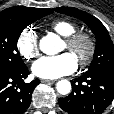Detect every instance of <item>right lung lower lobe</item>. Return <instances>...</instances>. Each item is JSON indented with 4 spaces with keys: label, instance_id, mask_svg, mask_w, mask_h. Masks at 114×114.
Instances as JSON below:
<instances>
[{
    "label": "right lung lower lobe",
    "instance_id": "98d812e1",
    "mask_svg": "<svg viewBox=\"0 0 114 114\" xmlns=\"http://www.w3.org/2000/svg\"><path fill=\"white\" fill-rule=\"evenodd\" d=\"M28 75L26 65L10 73H0V114H23L29 108L32 91L40 81L25 83Z\"/></svg>",
    "mask_w": 114,
    "mask_h": 114
}]
</instances>
